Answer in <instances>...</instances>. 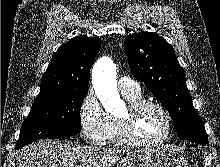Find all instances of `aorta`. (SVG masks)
Instances as JSON below:
<instances>
[{
  "instance_id": "obj_1",
  "label": "aorta",
  "mask_w": 220,
  "mask_h": 167,
  "mask_svg": "<svg viewBox=\"0 0 220 167\" xmlns=\"http://www.w3.org/2000/svg\"><path fill=\"white\" fill-rule=\"evenodd\" d=\"M92 83L104 109L114 113L124 108L116 81V66L109 57L99 59L93 67Z\"/></svg>"
}]
</instances>
